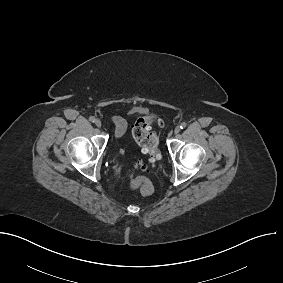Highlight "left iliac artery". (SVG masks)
<instances>
[{"instance_id": "obj_1", "label": "left iliac artery", "mask_w": 283, "mask_h": 283, "mask_svg": "<svg viewBox=\"0 0 283 283\" xmlns=\"http://www.w3.org/2000/svg\"><path fill=\"white\" fill-rule=\"evenodd\" d=\"M186 126H187V124L185 122H183V123H181L180 128L184 129V128H186Z\"/></svg>"}]
</instances>
